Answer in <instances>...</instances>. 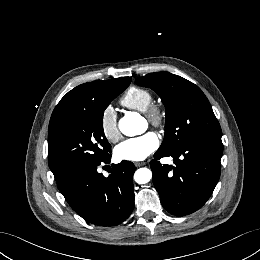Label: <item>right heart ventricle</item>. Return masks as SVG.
I'll return each instance as SVG.
<instances>
[{
    "label": "right heart ventricle",
    "instance_id": "right-heart-ventricle-1",
    "mask_svg": "<svg viewBox=\"0 0 260 260\" xmlns=\"http://www.w3.org/2000/svg\"><path fill=\"white\" fill-rule=\"evenodd\" d=\"M152 101L153 96L149 90L133 86L125 92L120 103L126 108L144 112Z\"/></svg>",
    "mask_w": 260,
    "mask_h": 260
}]
</instances>
